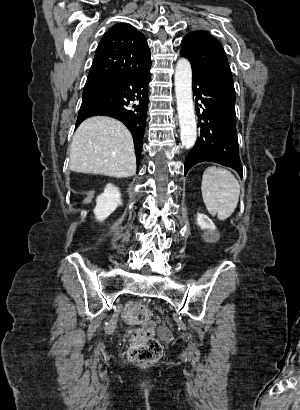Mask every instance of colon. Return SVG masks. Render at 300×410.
I'll return each instance as SVG.
<instances>
[{"instance_id": "colon-1", "label": "colon", "mask_w": 300, "mask_h": 410, "mask_svg": "<svg viewBox=\"0 0 300 410\" xmlns=\"http://www.w3.org/2000/svg\"><path fill=\"white\" fill-rule=\"evenodd\" d=\"M147 305L140 302H128L124 308L125 318L131 326H138L131 338L128 358L131 362L144 365L157 362L162 356V345L152 336L151 330H156V321H150Z\"/></svg>"}]
</instances>
